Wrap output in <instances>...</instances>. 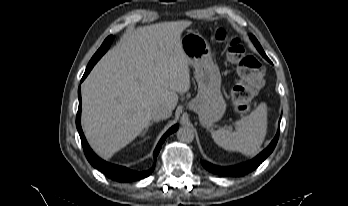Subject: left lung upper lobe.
I'll return each instance as SVG.
<instances>
[{"label": "left lung upper lobe", "mask_w": 348, "mask_h": 206, "mask_svg": "<svg viewBox=\"0 0 348 206\" xmlns=\"http://www.w3.org/2000/svg\"><path fill=\"white\" fill-rule=\"evenodd\" d=\"M250 37H251L252 42H253L254 45L256 46L257 50L260 52V54H261L266 60L270 61L269 58H268V57L266 56V54L264 53V51H263L261 45L259 44V42L257 41V39H256L253 35H250Z\"/></svg>", "instance_id": "5c2ea615"}]
</instances>
